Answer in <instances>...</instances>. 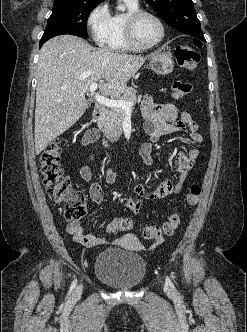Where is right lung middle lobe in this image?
<instances>
[{"instance_id": "right-lung-middle-lobe-1", "label": "right lung middle lobe", "mask_w": 247, "mask_h": 332, "mask_svg": "<svg viewBox=\"0 0 247 332\" xmlns=\"http://www.w3.org/2000/svg\"><path fill=\"white\" fill-rule=\"evenodd\" d=\"M97 0H55L46 28L64 27L87 38V19Z\"/></svg>"}]
</instances>
